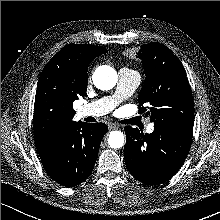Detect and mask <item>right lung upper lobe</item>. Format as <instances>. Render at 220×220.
<instances>
[{
    "label": "right lung upper lobe",
    "mask_w": 220,
    "mask_h": 220,
    "mask_svg": "<svg viewBox=\"0 0 220 220\" xmlns=\"http://www.w3.org/2000/svg\"><path fill=\"white\" fill-rule=\"evenodd\" d=\"M106 51L95 45L69 44L44 67L34 104L36 147L77 123L73 102L86 93L90 62Z\"/></svg>",
    "instance_id": "cb5924a9"
}]
</instances>
